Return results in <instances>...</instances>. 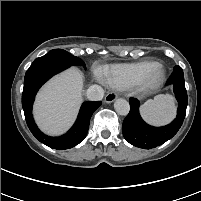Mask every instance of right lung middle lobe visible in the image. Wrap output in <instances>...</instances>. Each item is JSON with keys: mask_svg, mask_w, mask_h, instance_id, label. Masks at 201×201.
Listing matches in <instances>:
<instances>
[{"mask_svg": "<svg viewBox=\"0 0 201 201\" xmlns=\"http://www.w3.org/2000/svg\"><path fill=\"white\" fill-rule=\"evenodd\" d=\"M50 52L54 54H60L61 56H63L64 58H67L70 62H72L73 65H82L83 67H86L83 60H81L80 58L76 56H73L72 54L68 53L65 50L54 49V50H51Z\"/></svg>", "mask_w": 201, "mask_h": 201, "instance_id": "dd1d6c3e", "label": "right lung middle lobe"}]
</instances>
